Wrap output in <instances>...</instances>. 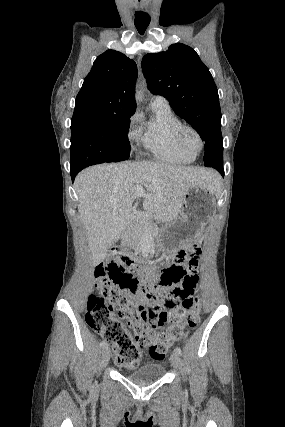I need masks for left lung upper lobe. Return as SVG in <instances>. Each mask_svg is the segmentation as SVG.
<instances>
[{
    "label": "left lung upper lobe",
    "instance_id": "left-lung-upper-lobe-1",
    "mask_svg": "<svg viewBox=\"0 0 285 427\" xmlns=\"http://www.w3.org/2000/svg\"><path fill=\"white\" fill-rule=\"evenodd\" d=\"M142 71L153 94L164 96L205 142L204 165L223 161L221 111L216 85L208 68L189 46L172 44L166 52L147 54Z\"/></svg>",
    "mask_w": 285,
    "mask_h": 427
}]
</instances>
